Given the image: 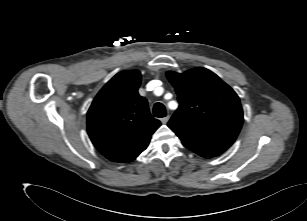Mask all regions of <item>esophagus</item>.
<instances>
[{"label": "esophagus", "instance_id": "obj_1", "mask_svg": "<svg viewBox=\"0 0 307 221\" xmlns=\"http://www.w3.org/2000/svg\"><path fill=\"white\" fill-rule=\"evenodd\" d=\"M169 118H170V116H169V115H167V116H165V117L161 118V122H162V124H166V123L169 121Z\"/></svg>", "mask_w": 307, "mask_h": 221}]
</instances>
